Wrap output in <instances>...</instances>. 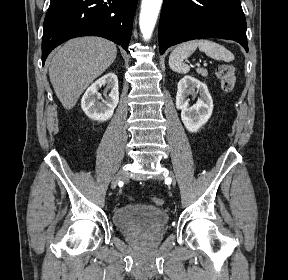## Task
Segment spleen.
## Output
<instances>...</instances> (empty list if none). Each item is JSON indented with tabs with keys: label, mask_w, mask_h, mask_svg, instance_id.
<instances>
[{
	"label": "spleen",
	"mask_w": 288,
	"mask_h": 280,
	"mask_svg": "<svg viewBox=\"0 0 288 280\" xmlns=\"http://www.w3.org/2000/svg\"><path fill=\"white\" fill-rule=\"evenodd\" d=\"M197 48L215 60H222L225 62L234 60L233 53L219 43L207 39L191 40L178 45L171 52L169 57L170 69L181 74L188 73L190 67L185 64L183 60L188 58Z\"/></svg>",
	"instance_id": "spleen-1"
}]
</instances>
